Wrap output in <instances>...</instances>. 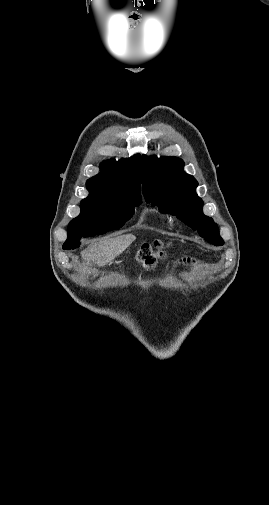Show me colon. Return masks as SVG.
Returning a JSON list of instances; mask_svg holds the SVG:
<instances>
[{
  "mask_svg": "<svg viewBox=\"0 0 269 505\" xmlns=\"http://www.w3.org/2000/svg\"><path fill=\"white\" fill-rule=\"evenodd\" d=\"M162 255L161 250L154 252L151 247L145 246L139 250L137 258L145 268L152 269Z\"/></svg>",
  "mask_w": 269,
  "mask_h": 505,
  "instance_id": "obj_1",
  "label": "colon"
}]
</instances>
